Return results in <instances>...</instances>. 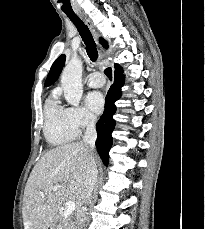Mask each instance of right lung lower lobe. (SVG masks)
Segmentation results:
<instances>
[{
    "label": "right lung lower lobe",
    "instance_id": "1",
    "mask_svg": "<svg viewBox=\"0 0 205 229\" xmlns=\"http://www.w3.org/2000/svg\"><path fill=\"white\" fill-rule=\"evenodd\" d=\"M122 72V68L119 65H116L114 83L106 95L104 113L96 124L98 137L95 144L105 165H108L109 150L113 141L112 132L115 129L113 115L116 113V106L114 102L121 97V87L125 82Z\"/></svg>",
    "mask_w": 205,
    "mask_h": 229
}]
</instances>
